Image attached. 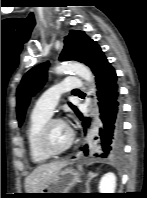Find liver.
I'll list each match as a JSON object with an SVG mask.
<instances>
[{"mask_svg":"<svg viewBox=\"0 0 147 198\" xmlns=\"http://www.w3.org/2000/svg\"><path fill=\"white\" fill-rule=\"evenodd\" d=\"M67 165L66 161L39 165L25 179L26 193H37L49 184Z\"/></svg>","mask_w":147,"mask_h":198,"instance_id":"liver-1","label":"liver"}]
</instances>
